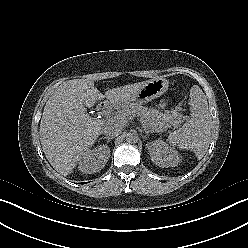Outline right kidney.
<instances>
[{
  "label": "right kidney",
  "instance_id": "ca27d5eb",
  "mask_svg": "<svg viewBox=\"0 0 248 248\" xmlns=\"http://www.w3.org/2000/svg\"><path fill=\"white\" fill-rule=\"evenodd\" d=\"M110 148L102 145L88 150L79 161L78 169L85 174H92L100 171L108 162Z\"/></svg>",
  "mask_w": 248,
  "mask_h": 248
}]
</instances>
